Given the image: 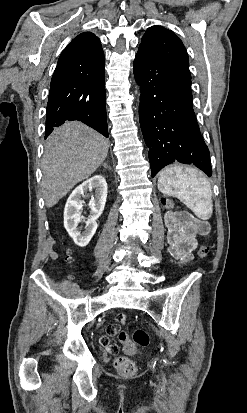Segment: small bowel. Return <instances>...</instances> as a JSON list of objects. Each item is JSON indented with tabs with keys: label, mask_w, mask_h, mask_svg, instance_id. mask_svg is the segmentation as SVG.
<instances>
[{
	"label": "small bowel",
	"mask_w": 247,
	"mask_h": 413,
	"mask_svg": "<svg viewBox=\"0 0 247 413\" xmlns=\"http://www.w3.org/2000/svg\"><path fill=\"white\" fill-rule=\"evenodd\" d=\"M165 225L168 230L167 240L169 245V253L172 257L179 261L182 267L192 259V252L197 247L198 235H207L209 233V225L206 221L192 217L191 221L178 225L175 221V214L167 212L165 214ZM126 315H117L115 322H107L105 325L106 334L100 336L101 347L110 349L112 347V338L115 336V331L121 329V324L124 322ZM112 354L118 353L117 347L111 348Z\"/></svg>",
	"instance_id": "obj_1"
}]
</instances>
